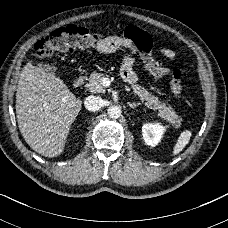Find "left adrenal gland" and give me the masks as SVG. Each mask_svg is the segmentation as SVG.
<instances>
[{
    "instance_id": "obj_1",
    "label": "left adrenal gland",
    "mask_w": 228,
    "mask_h": 228,
    "mask_svg": "<svg viewBox=\"0 0 228 228\" xmlns=\"http://www.w3.org/2000/svg\"><path fill=\"white\" fill-rule=\"evenodd\" d=\"M128 105H129L132 109H134V108H136L137 106H139L140 103H130V102H128Z\"/></svg>"
}]
</instances>
